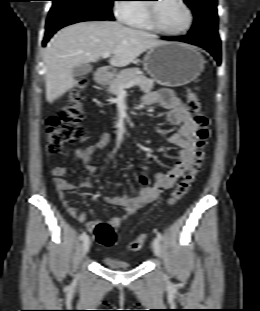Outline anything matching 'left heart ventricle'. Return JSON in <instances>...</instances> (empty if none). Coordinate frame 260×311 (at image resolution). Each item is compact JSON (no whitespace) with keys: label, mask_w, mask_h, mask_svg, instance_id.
Wrapping results in <instances>:
<instances>
[{"label":"left heart ventricle","mask_w":260,"mask_h":311,"mask_svg":"<svg viewBox=\"0 0 260 311\" xmlns=\"http://www.w3.org/2000/svg\"><path fill=\"white\" fill-rule=\"evenodd\" d=\"M156 6V16L163 28L178 31L187 25V12L178 0H160Z\"/></svg>","instance_id":"left-heart-ventricle-1"}]
</instances>
